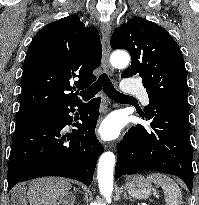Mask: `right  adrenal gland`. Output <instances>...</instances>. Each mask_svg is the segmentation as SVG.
<instances>
[{
    "mask_svg": "<svg viewBox=\"0 0 199 205\" xmlns=\"http://www.w3.org/2000/svg\"><path fill=\"white\" fill-rule=\"evenodd\" d=\"M74 190H75V192H76V191H79L77 188H74ZM74 202H75V196H74V198H73V203H72V205H74Z\"/></svg>",
    "mask_w": 199,
    "mask_h": 205,
    "instance_id": "right-adrenal-gland-1",
    "label": "right adrenal gland"
}]
</instances>
